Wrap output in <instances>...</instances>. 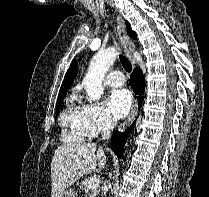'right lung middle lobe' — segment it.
<instances>
[{
  "instance_id": "right-lung-middle-lobe-1",
  "label": "right lung middle lobe",
  "mask_w": 209,
  "mask_h": 197,
  "mask_svg": "<svg viewBox=\"0 0 209 197\" xmlns=\"http://www.w3.org/2000/svg\"><path fill=\"white\" fill-rule=\"evenodd\" d=\"M62 102H63V99L57 100V103H56V114L57 115L60 112V108H61Z\"/></svg>"
}]
</instances>
